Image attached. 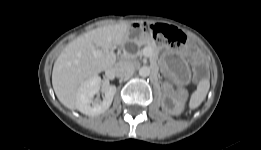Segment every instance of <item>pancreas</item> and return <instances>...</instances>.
Here are the masks:
<instances>
[{
    "label": "pancreas",
    "instance_id": "cf45deb5",
    "mask_svg": "<svg viewBox=\"0 0 261 150\" xmlns=\"http://www.w3.org/2000/svg\"><path fill=\"white\" fill-rule=\"evenodd\" d=\"M137 45L139 47H141L143 45H147L150 47V51L148 53H146V57H149L151 66L153 68H156V66H157L156 44L149 41L148 39H141V40L137 41ZM141 55H142V51H141Z\"/></svg>",
    "mask_w": 261,
    "mask_h": 150
}]
</instances>
